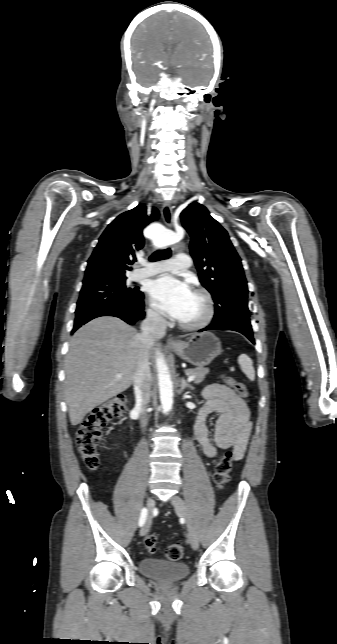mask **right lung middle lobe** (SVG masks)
Here are the masks:
<instances>
[{
	"label": "right lung middle lobe",
	"instance_id": "obj_1",
	"mask_svg": "<svg viewBox=\"0 0 337 644\" xmlns=\"http://www.w3.org/2000/svg\"><path fill=\"white\" fill-rule=\"evenodd\" d=\"M141 294L138 288L126 285V278H96L83 281L75 313L126 304Z\"/></svg>",
	"mask_w": 337,
	"mask_h": 644
}]
</instances>
